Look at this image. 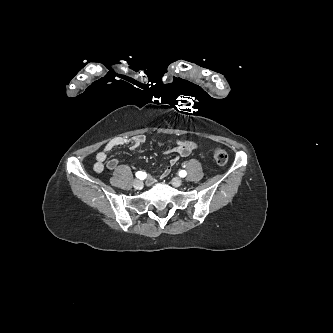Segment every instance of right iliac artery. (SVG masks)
Returning <instances> with one entry per match:
<instances>
[{
	"label": "right iliac artery",
	"mask_w": 333,
	"mask_h": 333,
	"mask_svg": "<svg viewBox=\"0 0 333 333\" xmlns=\"http://www.w3.org/2000/svg\"><path fill=\"white\" fill-rule=\"evenodd\" d=\"M135 175H136L137 178H139L141 180H143L146 177V173L141 172V171L137 172Z\"/></svg>",
	"instance_id": "1"
}]
</instances>
